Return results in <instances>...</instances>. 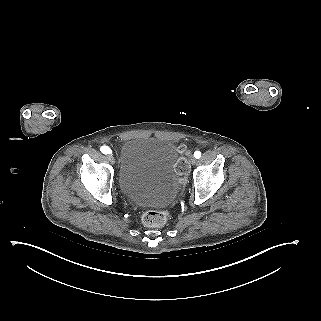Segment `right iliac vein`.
<instances>
[{"label":"right iliac vein","instance_id":"63e3f726","mask_svg":"<svg viewBox=\"0 0 321 321\" xmlns=\"http://www.w3.org/2000/svg\"><path fill=\"white\" fill-rule=\"evenodd\" d=\"M107 158H108V161H109L110 163H112V164L115 163V159H114V157H113L112 155H108Z\"/></svg>","mask_w":321,"mask_h":321}]
</instances>
